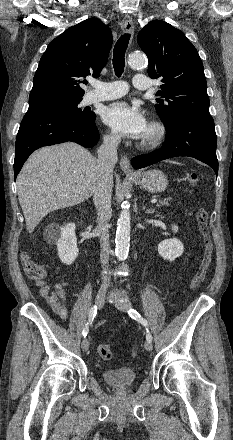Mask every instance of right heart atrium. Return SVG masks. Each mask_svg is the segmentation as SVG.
<instances>
[{
	"instance_id": "right-heart-atrium-1",
	"label": "right heart atrium",
	"mask_w": 233,
	"mask_h": 440,
	"mask_svg": "<svg viewBox=\"0 0 233 440\" xmlns=\"http://www.w3.org/2000/svg\"><path fill=\"white\" fill-rule=\"evenodd\" d=\"M105 140L109 143H114L117 140V138L113 133H108L105 135Z\"/></svg>"
}]
</instances>
